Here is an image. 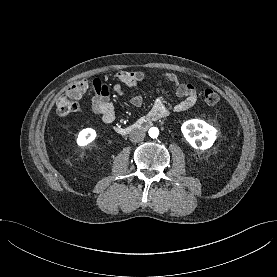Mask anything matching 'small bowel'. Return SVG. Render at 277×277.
<instances>
[{
	"instance_id": "small-bowel-1",
	"label": "small bowel",
	"mask_w": 277,
	"mask_h": 277,
	"mask_svg": "<svg viewBox=\"0 0 277 277\" xmlns=\"http://www.w3.org/2000/svg\"><path fill=\"white\" fill-rule=\"evenodd\" d=\"M161 76L168 82L174 84L176 95L180 98V101L173 107L175 112L186 111L195 105L197 101V91L191 83L179 81L177 76L171 72L161 73ZM115 77L117 83L113 86V90L118 95H124L125 88L135 87L139 82L144 80L145 74L142 71H124L118 72ZM92 87L95 94L90 100V110L94 114L99 115L104 123H112L115 119V107L109 98V84L105 81L95 79L92 82ZM143 100L144 98L142 95H136L130 99V103L135 107H139L142 105ZM169 114L170 109L165 102L158 97L154 101L148 116L152 120H160L168 117Z\"/></svg>"
}]
</instances>
